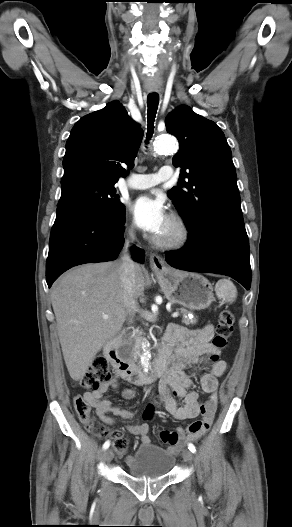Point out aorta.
Listing matches in <instances>:
<instances>
[{
	"mask_svg": "<svg viewBox=\"0 0 292 527\" xmlns=\"http://www.w3.org/2000/svg\"><path fill=\"white\" fill-rule=\"evenodd\" d=\"M154 149L158 153H172L176 149L175 140L171 136H160L154 141ZM149 346V344H147ZM150 358L151 354L146 348L144 350V353L141 356V365L145 369V371L148 370V367L150 365Z\"/></svg>",
	"mask_w": 292,
	"mask_h": 527,
	"instance_id": "762f6f07",
	"label": "aorta"
}]
</instances>
